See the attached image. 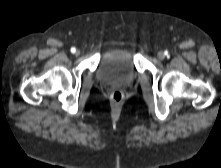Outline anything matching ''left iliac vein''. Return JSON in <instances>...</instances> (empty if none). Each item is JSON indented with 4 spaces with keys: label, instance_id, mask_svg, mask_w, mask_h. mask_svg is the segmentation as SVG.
Segmentation results:
<instances>
[{
    "label": "left iliac vein",
    "instance_id": "obj_1",
    "mask_svg": "<svg viewBox=\"0 0 221 168\" xmlns=\"http://www.w3.org/2000/svg\"><path fill=\"white\" fill-rule=\"evenodd\" d=\"M157 57L160 59V60H163L165 58V54L163 51H159L158 54H157Z\"/></svg>",
    "mask_w": 221,
    "mask_h": 168
}]
</instances>
